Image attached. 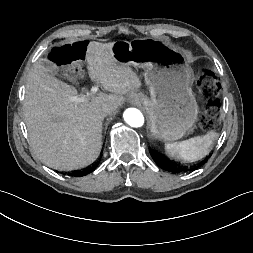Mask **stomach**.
<instances>
[{
  "label": "stomach",
  "mask_w": 253,
  "mask_h": 253,
  "mask_svg": "<svg viewBox=\"0 0 253 253\" xmlns=\"http://www.w3.org/2000/svg\"><path fill=\"white\" fill-rule=\"evenodd\" d=\"M113 57L120 63L143 68L150 97L135 94L149 115L151 132L171 143L193 131L198 105L191 86L193 71L184 56L152 39L114 43Z\"/></svg>",
  "instance_id": "1"
}]
</instances>
